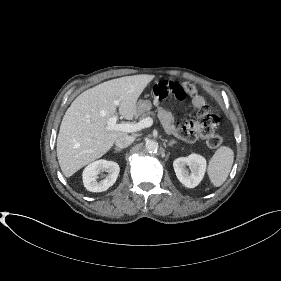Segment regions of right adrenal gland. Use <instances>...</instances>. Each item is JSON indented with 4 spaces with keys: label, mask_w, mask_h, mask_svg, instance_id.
<instances>
[{
    "label": "right adrenal gland",
    "mask_w": 281,
    "mask_h": 281,
    "mask_svg": "<svg viewBox=\"0 0 281 281\" xmlns=\"http://www.w3.org/2000/svg\"><path fill=\"white\" fill-rule=\"evenodd\" d=\"M114 150H115L116 152H121V151H122L121 149H119V148H117V147H115Z\"/></svg>",
    "instance_id": "1"
}]
</instances>
